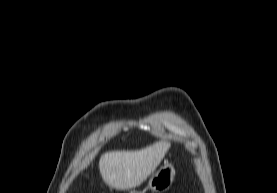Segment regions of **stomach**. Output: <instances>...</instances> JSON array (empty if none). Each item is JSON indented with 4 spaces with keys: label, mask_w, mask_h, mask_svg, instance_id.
I'll use <instances>...</instances> for the list:
<instances>
[{
    "label": "stomach",
    "mask_w": 277,
    "mask_h": 193,
    "mask_svg": "<svg viewBox=\"0 0 277 193\" xmlns=\"http://www.w3.org/2000/svg\"><path fill=\"white\" fill-rule=\"evenodd\" d=\"M175 176V168L172 163L164 162V165L159 168L155 173H152L148 180V188L151 190L162 193L170 188Z\"/></svg>",
    "instance_id": "0dacf381"
}]
</instances>
